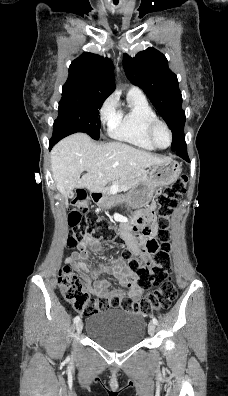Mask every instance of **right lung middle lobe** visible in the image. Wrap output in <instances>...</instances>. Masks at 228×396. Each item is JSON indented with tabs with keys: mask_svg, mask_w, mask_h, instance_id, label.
I'll use <instances>...</instances> for the list:
<instances>
[{
	"mask_svg": "<svg viewBox=\"0 0 228 396\" xmlns=\"http://www.w3.org/2000/svg\"><path fill=\"white\" fill-rule=\"evenodd\" d=\"M107 97L80 89H63L58 118L53 133L61 138L76 132L87 133L94 140L100 136L99 109Z\"/></svg>",
	"mask_w": 228,
	"mask_h": 396,
	"instance_id": "obj_1",
	"label": "right lung middle lobe"
}]
</instances>
